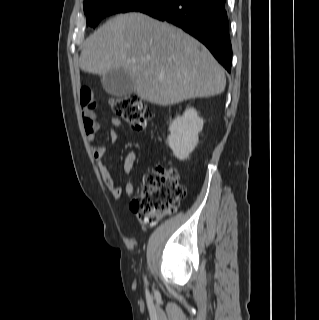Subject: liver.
Instances as JSON below:
<instances>
[{
  "label": "liver",
  "instance_id": "1",
  "mask_svg": "<svg viewBox=\"0 0 319 320\" xmlns=\"http://www.w3.org/2000/svg\"><path fill=\"white\" fill-rule=\"evenodd\" d=\"M81 70L95 75L123 69L142 100L162 106L221 94L224 69L199 41L142 13L120 14L84 44Z\"/></svg>",
  "mask_w": 319,
  "mask_h": 320
}]
</instances>
